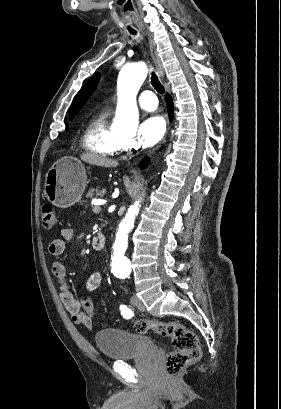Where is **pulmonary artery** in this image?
Wrapping results in <instances>:
<instances>
[{"mask_svg":"<svg viewBox=\"0 0 281 409\" xmlns=\"http://www.w3.org/2000/svg\"><path fill=\"white\" fill-rule=\"evenodd\" d=\"M141 100L138 101L140 107L144 110H154L158 102V95L154 94L152 90H143L141 93Z\"/></svg>","mask_w":281,"mask_h":409,"instance_id":"e3ab8cb5","label":"pulmonary artery"}]
</instances>
